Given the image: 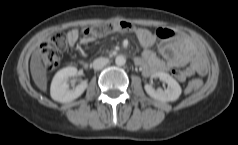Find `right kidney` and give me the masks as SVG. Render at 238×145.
I'll return each instance as SVG.
<instances>
[{
  "label": "right kidney",
  "instance_id": "right-kidney-1",
  "mask_svg": "<svg viewBox=\"0 0 238 145\" xmlns=\"http://www.w3.org/2000/svg\"><path fill=\"white\" fill-rule=\"evenodd\" d=\"M75 75H77V68L72 66L65 67L55 74L50 88V94L53 100L60 103H67L82 95L88 86L87 82H82L73 90L69 89L67 81Z\"/></svg>",
  "mask_w": 238,
  "mask_h": 145
}]
</instances>
